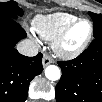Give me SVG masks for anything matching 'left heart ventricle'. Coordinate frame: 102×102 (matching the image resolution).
Returning <instances> with one entry per match:
<instances>
[{
	"label": "left heart ventricle",
	"instance_id": "obj_1",
	"mask_svg": "<svg viewBox=\"0 0 102 102\" xmlns=\"http://www.w3.org/2000/svg\"><path fill=\"white\" fill-rule=\"evenodd\" d=\"M87 29L86 23H79L71 32L68 40L64 44L66 50H72L80 44L81 34Z\"/></svg>",
	"mask_w": 102,
	"mask_h": 102
}]
</instances>
